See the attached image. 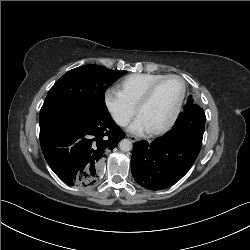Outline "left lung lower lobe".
Returning a JSON list of instances; mask_svg holds the SVG:
<instances>
[{"instance_id":"0a47b994","label":"left lung lower lobe","mask_w":250,"mask_h":250,"mask_svg":"<svg viewBox=\"0 0 250 250\" xmlns=\"http://www.w3.org/2000/svg\"><path fill=\"white\" fill-rule=\"evenodd\" d=\"M170 131L151 143L133 144L131 170L141 186L160 190L182 178L196 160L202 146L205 113L188 100Z\"/></svg>"}]
</instances>
